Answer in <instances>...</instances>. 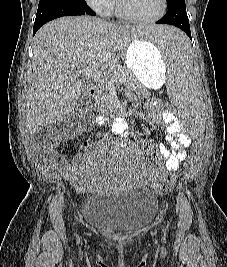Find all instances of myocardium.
Instances as JSON below:
<instances>
[{"label":"myocardium","mask_w":227,"mask_h":267,"mask_svg":"<svg viewBox=\"0 0 227 267\" xmlns=\"http://www.w3.org/2000/svg\"><path fill=\"white\" fill-rule=\"evenodd\" d=\"M167 10V0H161L160 11L157 15L149 19H141L133 16L131 13L127 11L124 6L123 0H117V11L118 14L126 21L137 24H151L159 21L166 13Z\"/></svg>","instance_id":"1"}]
</instances>
